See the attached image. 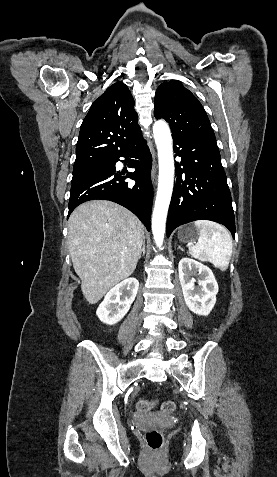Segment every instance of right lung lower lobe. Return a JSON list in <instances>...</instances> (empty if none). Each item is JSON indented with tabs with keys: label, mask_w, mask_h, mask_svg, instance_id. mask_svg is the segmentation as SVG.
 I'll return each instance as SVG.
<instances>
[{
	"label": "right lung lower lobe",
	"mask_w": 277,
	"mask_h": 477,
	"mask_svg": "<svg viewBox=\"0 0 277 477\" xmlns=\"http://www.w3.org/2000/svg\"><path fill=\"white\" fill-rule=\"evenodd\" d=\"M125 157L134 172H120L115 164ZM152 157L146 141L139 138L121 152L105 160L88 174L72 181L69 213L81 203L103 199L116 202L133 212L150 231L153 188L150 178ZM126 178L136 181L129 187Z\"/></svg>",
	"instance_id": "98d812e1"
}]
</instances>
